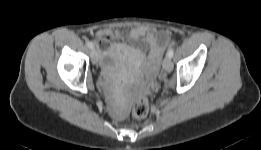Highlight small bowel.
<instances>
[{"label":"small bowel","mask_w":261,"mask_h":150,"mask_svg":"<svg viewBox=\"0 0 261 150\" xmlns=\"http://www.w3.org/2000/svg\"><path fill=\"white\" fill-rule=\"evenodd\" d=\"M95 36L98 39L99 46L107 48L110 45L111 40L122 36V32L117 28H107L98 30L95 33ZM128 37L132 41L142 40L147 45L146 56L143 47L135 49L125 45V48L133 57L136 66L142 64L145 58L150 73H156L159 67L161 54L169 40V33L166 31H159L154 26H136L129 31Z\"/></svg>","instance_id":"1"}]
</instances>
